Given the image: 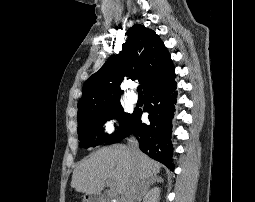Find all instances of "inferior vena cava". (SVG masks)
Listing matches in <instances>:
<instances>
[{"label": "inferior vena cava", "instance_id": "602c4592", "mask_svg": "<svg viewBox=\"0 0 255 202\" xmlns=\"http://www.w3.org/2000/svg\"><path fill=\"white\" fill-rule=\"evenodd\" d=\"M129 147L133 153H137L139 150L138 143L134 140L130 142ZM145 190V180L136 176L127 184L126 189L122 193L120 202H134V200H137L138 197H141L144 194Z\"/></svg>", "mask_w": 255, "mask_h": 202}]
</instances>
